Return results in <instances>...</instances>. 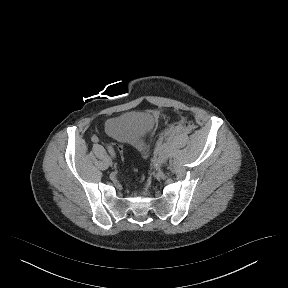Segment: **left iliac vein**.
I'll list each match as a JSON object with an SVG mask.
<instances>
[{
  "label": "left iliac vein",
  "instance_id": "obj_1",
  "mask_svg": "<svg viewBox=\"0 0 288 288\" xmlns=\"http://www.w3.org/2000/svg\"><path fill=\"white\" fill-rule=\"evenodd\" d=\"M166 159H167V157H166V155L163 153V154H161V155L159 156V158H158V163H159V164H164V163L166 162Z\"/></svg>",
  "mask_w": 288,
  "mask_h": 288
}]
</instances>
